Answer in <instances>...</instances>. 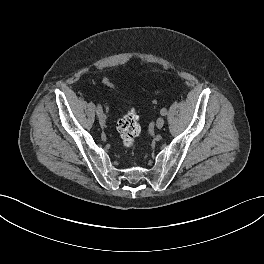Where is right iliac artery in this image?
<instances>
[{
    "label": "right iliac artery",
    "instance_id": "1",
    "mask_svg": "<svg viewBox=\"0 0 264 264\" xmlns=\"http://www.w3.org/2000/svg\"><path fill=\"white\" fill-rule=\"evenodd\" d=\"M97 114H98V116L103 114V109H102V106L100 104H97Z\"/></svg>",
    "mask_w": 264,
    "mask_h": 264
}]
</instances>
